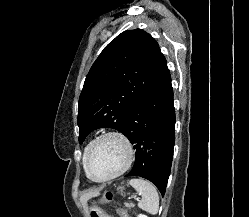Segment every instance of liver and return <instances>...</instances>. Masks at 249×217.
I'll return each instance as SVG.
<instances>
[{
	"mask_svg": "<svg viewBox=\"0 0 249 217\" xmlns=\"http://www.w3.org/2000/svg\"><path fill=\"white\" fill-rule=\"evenodd\" d=\"M98 194H99V192H88V193H85V194H83L80 197V201L83 204V206L86 207V203H87L88 199H90L91 197H95Z\"/></svg>",
	"mask_w": 249,
	"mask_h": 217,
	"instance_id": "liver-1",
	"label": "liver"
}]
</instances>
